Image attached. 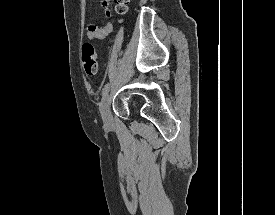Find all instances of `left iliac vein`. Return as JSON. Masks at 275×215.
Masks as SVG:
<instances>
[{
    "instance_id": "4c4485c4",
    "label": "left iliac vein",
    "mask_w": 275,
    "mask_h": 215,
    "mask_svg": "<svg viewBox=\"0 0 275 215\" xmlns=\"http://www.w3.org/2000/svg\"><path fill=\"white\" fill-rule=\"evenodd\" d=\"M100 113L103 119L104 126L110 128L113 125V118L110 112V98L108 93L103 96L100 104Z\"/></svg>"
}]
</instances>
